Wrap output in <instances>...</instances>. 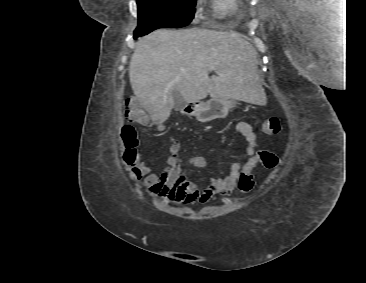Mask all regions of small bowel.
Returning a JSON list of instances; mask_svg holds the SVG:
<instances>
[{
	"label": "small bowel",
	"instance_id": "c3829d8e",
	"mask_svg": "<svg viewBox=\"0 0 366 283\" xmlns=\"http://www.w3.org/2000/svg\"><path fill=\"white\" fill-rule=\"evenodd\" d=\"M236 131L245 139V154L247 162L241 165L233 162L224 177L212 178L204 188H198L189 177V164L182 165L180 157L181 143L170 139L169 154L165 165L159 172H154L139 156L127 162L131 174L137 180L143 179L145 191L150 196H156L163 202L181 203L185 205L203 204L215 195H229L238 185V180L245 165L255 158L258 147L257 135L252 126L245 121L238 122ZM194 166H203V158L197 157L190 161Z\"/></svg>",
	"mask_w": 366,
	"mask_h": 283
}]
</instances>
